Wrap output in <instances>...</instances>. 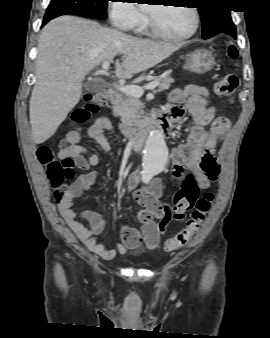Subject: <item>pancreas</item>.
I'll return each instance as SVG.
<instances>
[{
  "label": "pancreas",
  "instance_id": "obj_1",
  "mask_svg": "<svg viewBox=\"0 0 270 338\" xmlns=\"http://www.w3.org/2000/svg\"><path fill=\"white\" fill-rule=\"evenodd\" d=\"M158 92L169 89L170 85L174 82V79L170 74L161 76L158 78ZM120 101L116 104L114 110L118 116H120L121 125L120 129L123 133L127 130H134L136 126L141 124V118H143V104L141 101L134 96L126 93L121 94Z\"/></svg>",
  "mask_w": 270,
  "mask_h": 338
}]
</instances>
